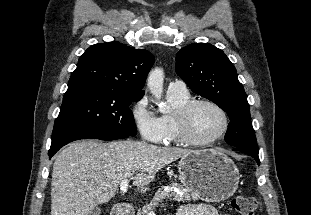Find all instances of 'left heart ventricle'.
Here are the masks:
<instances>
[{
    "mask_svg": "<svg viewBox=\"0 0 311 215\" xmlns=\"http://www.w3.org/2000/svg\"><path fill=\"white\" fill-rule=\"evenodd\" d=\"M221 126V114L210 105H199L192 113L191 133L198 140L211 138L220 130Z\"/></svg>",
    "mask_w": 311,
    "mask_h": 215,
    "instance_id": "b2bd125f",
    "label": "left heart ventricle"
}]
</instances>
